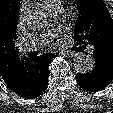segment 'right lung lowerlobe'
Here are the masks:
<instances>
[{
	"mask_svg": "<svg viewBox=\"0 0 113 113\" xmlns=\"http://www.w3.org/2000/svg\"><path fill=\"white\" fill-rule=\"evenodd\" d=\"M53 57L54 54H43L36 58H24L19 63L16 74L5 83L23 98H37L46 90L48 66Z\"/></svg>",
	"mask_w": 113,
	"mask_h": 113,
	"instance_id": "1",
	"label": "right lung lower lobe"
}]
</instances>
